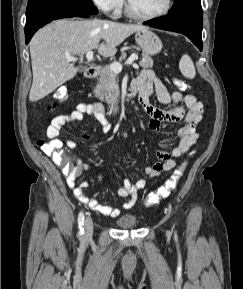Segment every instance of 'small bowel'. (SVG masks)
<instances>
[{
  "instance_id": "1",
  "label": "small bowel",
  "mask_w": 243,
  "mask_h": 289,
  "mask_svg": "<svg viewBox=\"0 0 243 289\" xmlns=\"http://www.w3.org/2000/svg\"><path fill=\"white\" fill-rule=\"evenodd\" d=\"M132 89L136 91L139 103L144 113L149 117L148 127L152 131H159L166 123H184L179 129V142L170 152L159 150L157 156L159 161L151 166H146L144 172L146 178L139 179L132 183L129 179H124L118 194L128 197L119 208L109 205L107 202L99 201L96 196H89L85 192L87 183L77 184L78 177L91 167L77 159L76 164L69 170H63L66 173V183L73 191L75 197L82 203L88 205L91 209L102 215L116 217L122 210L130 209L137 198L138 192L143 189L148 179L158 177L161 173L171 170L176 165V160L183 156L190 147L197 141V128L202 122L203 105L194 95L183 94L180 91L170 93L165 84L155 75L152 70H142L134 79ZM155 91L157 99L162 104L173 103L174 107L170 110L159 109L149 103V96ZM85 115L94 116L101 124L103 133L107 134L112 130V124L106 118L104 109L99 103H80L76 108L67 114L55 116L47 128V136L50 140H58V136L68 123L81 121ZM83 139H89L88 135L82 136ZM68 149L76 148L77 142L69 139L66 142ZM121 160L122 156L117 155ZM99 180L104 181V176L98 172Z\"/></svg>"
}]
</instances>
